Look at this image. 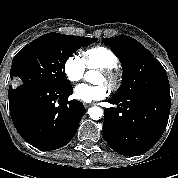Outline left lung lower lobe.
I'll return each instance as SVG.
<instances>
[{
  "mask_svg": "<svg viewBox=\"0 0 178 178\" xmlns=\"http://www.w3.org/2000/svg\"><path fill=\"white\" fill-rule=\"evenodd\" d=\"M117 108H106L103 133L107 144L117 153L137 156L151 149L164 133L171 101L148 94L110 98Z\"/></svg>",
  "mask_w": 178,
  "mask_h": 178,
  "instance_id": "1",
  "label": "left lung lower lobe"
}]
</instances>
